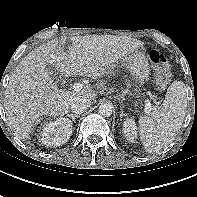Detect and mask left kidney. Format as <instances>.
Masks as SVG:
<instances>
[{
	"label": "left kidney",
	"mask_w": 197,
	"mask_h": 197,
	"mask_svg": "<svg viewBox=\"0 0 197 197\" xmlns=\"http://www.w3.org/2000/svg\"><path fill=\"white\" fill-rule=\"evenodd\" d=\"M123 127H124L123 130H124L126 139L129 142L134 143L135 139L137 138L135 121L132 118H127L124 121Z\"/></svg>",
	"instance_id": "obj_1"
}]
</instances>
